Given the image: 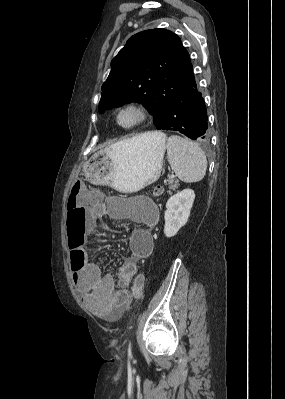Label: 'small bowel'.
Segmentation results:
<instances>
[{"instance_id":"1","label":"small bowel","mask_w":285,"mask_h":399,"mask_svg":"<svg viewBox=\"0 0 285 399\" xmlns=\"http://www.w3.org/2000/svg\"><path fill=\"white\" fill-rule=\"evenodd\" d=\"M75 200L79 207L87 206L89 203L88 197L82 194H78ZM120 202L121 199L116 198L97 205L95 208L96 218L99 219L108 215L117 218L128 217L127 213L119 212V210H122ZM139 212L140 216L135 218V222L144 223V225L132 230L128 238L130 256L120 267L116 280L110 273L103 272L101 265L94 261L88 253L84 254L83 267L72 275L73 283L82 302L93 310L99 318L109 321L117 320L132 300L143 298V293L136 295L133 289H128V286L138 275V262L148 257L153 250L154 242L151 231L154 227L153 222L157 220L158 215L157 213H149L148 216L153 221H146L143 217L146 213L142 209ZM67 231L68 233L72 232L77 237L79 248L82 250L92 241L83 222L71 224L67 218Z\"/></svg>"}]
</instances>
